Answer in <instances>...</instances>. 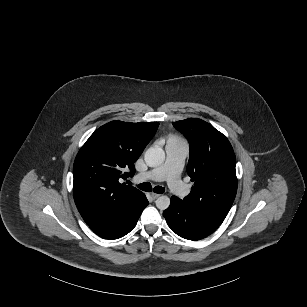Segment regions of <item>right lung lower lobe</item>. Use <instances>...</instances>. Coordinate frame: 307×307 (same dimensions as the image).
I'll return each instance as SVG.
<instances>
[{"label": "right lung lower lobe", "mask_w": 307, "mask_h": 307, "mask_svg": "<svg viewBox=\"0 0 307 307\" xmlns=\"http://www.w3.org/2000/svg\"><path fill=\"white\" fill-rule=\"evenodd\" d=\"M148 205L145 194L133 199L115 214L95 222L89 227L105 239H118L129 233L136 225L143 209Z\"/></svg>", "instance_id": "98d812e1"}]
</instances>
